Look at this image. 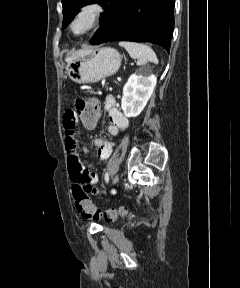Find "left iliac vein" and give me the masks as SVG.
Instances as JSON below:
<instances>
[{
    "label": "left iliac vein",
    "mask_w": 240,
    "mask_h": 288,
    "mask_svg": "<svg viewBox=\"0 0 240 288\" xmlns=\"http://www.w3.org/2000/svg\"><path fill=\"white\" fill-rule=\"evenodd\" d=\"M118 179H119V175H116L114 178H113V184H116L118 182Z\"/></svg>",
    "instance_id": "obj_1"
}]
</instances>
